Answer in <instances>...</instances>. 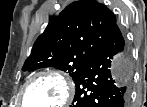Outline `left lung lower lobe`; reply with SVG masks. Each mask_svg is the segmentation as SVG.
<instances>
[{
	"instance_id": "1",
	"label": "left lung lower lobe",
	"mask_w": 147,
	"mask_h": 107,
	"mask_svg": "<svg viewBox=\"0 0 147 107\" xmlns=\"http://www.w3.org/2000/svg\"><path fill=\"white\" fill-rule=\"evenodd\" d=\"M117 53L127 57L125 40L116 24L98 52L88 60L78 78L71 107H127L131 75L113 80L109 68Z\"/></svg>"
}]
</instances>
